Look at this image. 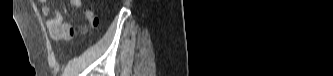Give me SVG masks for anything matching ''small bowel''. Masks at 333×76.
<instances>
[{
	"instance_id": "small-bowel-1",
	"label": "small bowel",
	"mask_w": 333,
	"mask_h": 76,
	"mask_svg": "<svg viewBox=\"0 0 333 76\" xmlns=\"http://www.w3.org/2000/svg\"><path fill=\"white\" fill-rule=\"evenodd\" d=\"M40 4L42 5V14L46 18V26L52 40L58 41L76 37L72 25L64 20L63 15L56 7L51 6V2L41 0ZM70 4L77 9L83 8L82 0H70ZM83 13L93 26L97 25L98 19L92 10L83 9Z\"/></svg>"
}]
</instances>
